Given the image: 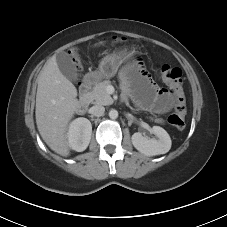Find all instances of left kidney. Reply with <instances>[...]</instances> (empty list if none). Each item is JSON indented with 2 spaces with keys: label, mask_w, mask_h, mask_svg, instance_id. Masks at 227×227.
Here are the masks:
<instances>
[{
  "label": "left kidney",
  "mask_w": 227,
  "mask_h": 227,
  "mask_svg": "<svg viewBox=\"0 0 227 227\" xmlns=\"http://www.w3.org/2000/svg\"><path fill=\"white\" fill-rule=\"evenodd\" d=\"M152 132L158 139L144 137L140 132L134 133L131 138L133 146L147 156L167 153L171 148L169 134L160 126H153Z\"/></svg>",
  "instance_id": "5707ae66"
}]
</instances>
